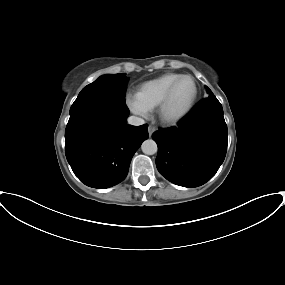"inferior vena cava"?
Instances as JSON below:
<instances>
[{"mask_svg": "<svg viewBox=\"0 0 285 285\" xmlns=\"http://www.w3.org/2000/svg\"><path fill=\"white\" fill-rule=\"evenodd\" d=\"M144 123L145 121L140 117L130 116L128 118V124L130 125L139 126V125H143Z\"/></svg>", "mask_w": 285, "mask_h": 285, "instance_id": "1", "label": "inferior vena cava"}]
</instances>
